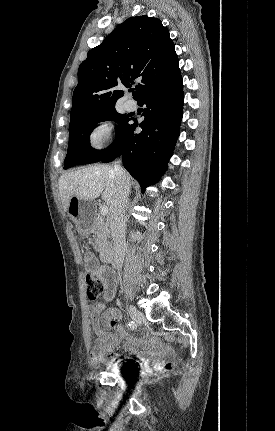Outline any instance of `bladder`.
Instances as JSON below:
<instances>
[{
  "mask_svg": "<svg viewBox=\"0 0 275 431\" xmlns=\"http://www.w3.org/2000/svg\"><path fill=\"white\" fill-rule=\"evenodd\" d=\"M126 367H133V363L129 364V366H127V361L125 360H118L112 363H108L106 365V368L108 369V371L110 373H112L113 375H115L118 378H125L126 375L128 374V369Z\"/></svg>",
  "mask_w": 275,
  "mask_h": 431,
  "instance_id": "1",
  "label": "bladder"
}]
</instances>
